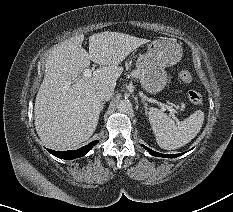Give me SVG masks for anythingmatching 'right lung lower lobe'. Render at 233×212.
Returning <instances> with one entry per match:
<instances>
[{"label":"right lung lower lobe","mask_w":233,"mask_h":212,"mask_svg":"<svg viewBox=\"0 0 233 212\" xmlns=\"http://www.w3.org/2000/svg\"><path fill=\"white\" fill-rule=\"evenodd\" d=\"M97 143H98V140L92 141L88 145L81 147L80 149H77V150H69V151H54L50 149H47V150L58 158L71 160V159L84 156Z\"/></svg>","instance_id":"1"}]
</instances>
